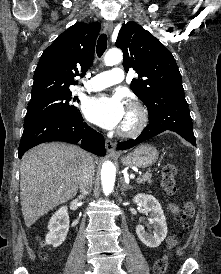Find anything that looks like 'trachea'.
<instances>
[{
  "label": "trachea",
  "mask_w": 221,
  "mask_h": 274,
  "mask_svg": "<svg viewBox=\"0 0 221 274\" xmlns=\"http://www.w3.org/2000/svg\"><path fill=\"white\" fill-rule=\"evenodd\" d=\"M107 48V36L101 34L97 41L96 52L98 57H101Z\"/></svg>",
  "instance_id": "1"
}]
</instances>
